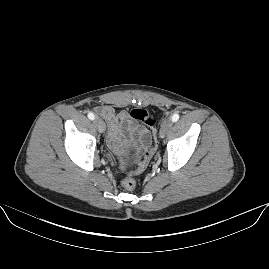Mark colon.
Returning a JSON list of instances; mask_svg holds the SVG:
<instances>
[{
    "instance_id": "5ec220e1",
    "label": "colon",
    "mask_w": 269,
    "mask_h": 269,
    "mask_svg": "<svg viewBox=\"0 0 269 269\" xmlns=\"http://www.w3.org/2000/svg\"><path fill=\"white\" fill-rule=\"evenodd\" d=\"M130 115L135 121L146 124L149 127V134L144 139L146 149L143 151V158L139 162L138 168L130 171L122 180V186L127 191H132L135 189L137 183L134 176L137 173L143 172L147 168L157 145L155 117L148 110L139 107L133 108Z\"/></svg>"
}]
</instances>
